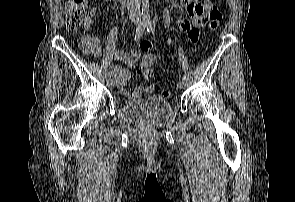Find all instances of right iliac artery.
Segmentation results:
<instances>
[{"mask_svg":"<svg viewBox=\"0 0 295 202\" xmlns=\"http://www.w3.org/2000/svg\"><path fill=\"white\" fill-rule=\"evenodd\" d=\"M145 27H146V25H145L144 22L139 23V25H138V27L136 29V33H135V38H134L135 41H138L141 38V36L143 35V32L145 30ZM106 76L111 77V73L107 72Z\"/></svg>","mask_w":295,"mask_h":202,"instance_id":"1","label":"right iliac artery"}]
</instances>
